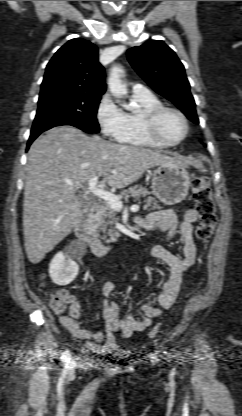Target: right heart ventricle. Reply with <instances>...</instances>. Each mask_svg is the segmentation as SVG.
I'll return each instance as SVG.
<instances>
[{"label": "right heart ventricle", "mask_w": 242, "mask_h": 416, "mask_svg": "<svg viewBox=\"0 0 242 416\" xmlns=\"http://www.w3.org/2000/svg\"><path fill=\"white\" fill-rule=\"evenodd\" d=\"M132 100L138 106V109L125 113L126 130L120 141L135 146L166 147V145L156 142L147 134L144 124L145 114L149 110L162 105L160 99L147 91L133 92Z\"/></svg>", "instance_id": "e07e8e85"}]
</instances>
